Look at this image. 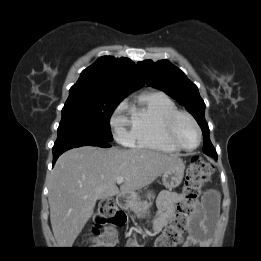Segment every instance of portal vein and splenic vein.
<instances>
[{
	"label": "portal vein and splenic vein",
	"mask_w": 261,
	"mask_h": 261,
	"mask_svg": "<svg viewBox=\"0 0 261 261\" xmlns=\"http://www.w3.org/2000/svg\"><path fill=\"white\" fill-rule=\"evenodd\" d=\"M123 181H124L123 177H118L116 182H117V184H122Z\"/></svg>",
	"instance_id": "1"
}]
</instances>
